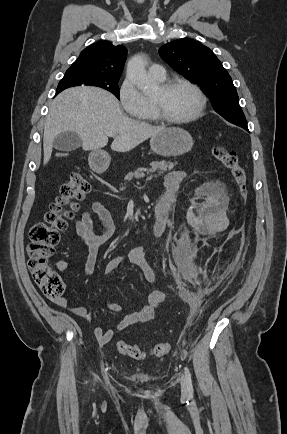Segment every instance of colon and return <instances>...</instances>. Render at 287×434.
<instances>
[{"mask_svg": "<svg viewBox=\"0 0 287 434\" xmlns=\"http://www.w3.org/2000/svg\"><path fill=\"white\" fill-rule=\"evenodd\" d=\"M212 154L231 172L239 194L244 196L246 194L247 174L239 162L237 153L224 146L215 145L212 148ZM89 190L90 184L82 172L80 170L73 171L62 185L55 201L51 203L44 220L34 224L30 229L29 270L34 282L48 298H60L64 292V282L52 270L49 260L58 244L60 232L66 229L67 220L71 219L79 209L80 202ZM116 347L120 354L135 360H143L148 355L161 357L170 350L169 344L165 342L154 345L149 351L124 341L117 342Z\"/></svg>", "mask_w": 287, "mask_h": 434, "instance_id": "5ec220e1", "label": "colon"}]
</instances>
